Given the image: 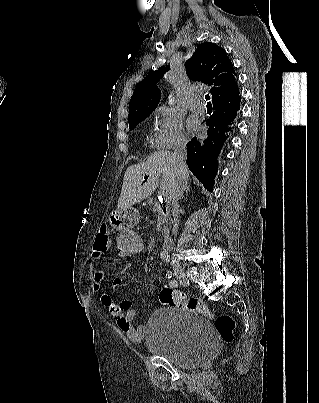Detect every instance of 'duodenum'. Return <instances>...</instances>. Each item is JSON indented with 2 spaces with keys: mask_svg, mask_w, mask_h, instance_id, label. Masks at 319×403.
Segmentation results:
<instances>
[{
  "mask_svg": "<svg viewBox=\"0 0 319 403\" xmlns=\"http://www.w3.org/2000/svg\"><path fill=\"white\" fill-rule=\"evenodd\" d=\"M163 245L167 252H170L173 248V241L168 232L163 234Z\"/></svg>",
  "mask_w": 319,
  "mask_h": 403,
  "instance_id": "1",
  "label": "duodenum"
}]
</instances>
